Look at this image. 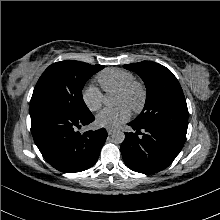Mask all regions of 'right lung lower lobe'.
<instances>
[{"label":"right lung lower lobe","instance_id":"obj_1","mask_svg":"<svg viewBox=\"0 0 220 220\" xmlns=\"http://www.w3.org/2000/svg\"><path fill=\"white\" fill-rule=\"evenodd\" d=\"M31 130L44 159L55 169L73 173L92 167L107 138L104 128L80 134L76 129L95 120L48 104L30 105Z\"/></svg>","mask_w":220,"mask_h":220}]
</instances>
